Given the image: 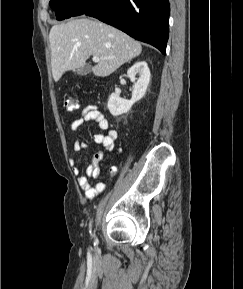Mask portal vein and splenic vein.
<instances>
[{
    "mask_svg": "<svg viewBox=\"0 0 243 289\" xmlns=\"http://www.w3.org/2000/svg\"><path fill=\"white\" fill-rule=\"evenodd\" d=\"M101 59H108V58L107 57L100 58L98 56H93V58H92L93 62H99Z\"/></svg>",
    "mask_w": 243,
    "mask_h": 289,
    "instance_id": "portal-vein-and-splenic-vein-1",
    "label": "portal vein and splenic vein"
}]
</instances>
